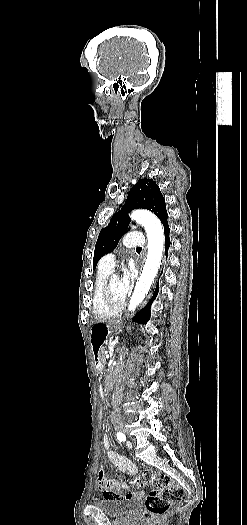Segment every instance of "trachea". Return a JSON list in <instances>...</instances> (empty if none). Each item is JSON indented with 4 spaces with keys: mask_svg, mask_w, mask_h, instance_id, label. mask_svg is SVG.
I'll use <instances>...</instances> for the list:
<instances>
[{
    "mask_svg": "<svg viewBox=\"0 0 247 525\" xmlns=\"http://www.w3.org/2000/svg\"><path fill=\"white\" fill-rule=\"evenodd\" d=\"M142 247H137V249H141Z\"/></svg>",
    "mask_w": 247,
    "mask_h": 525,
    "instance_id": "3493384b",
    "label": "trachea"
}]
</instances>
